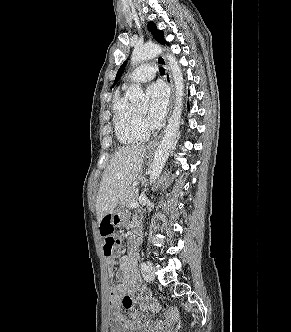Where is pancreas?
<instances>
[{
  "label": "pancreas",
  "mask_w": 291,
  "mask_h": 332,
  "mask_svg": "<svg viewBox=\"0 0 291 332\" xmlns=\"http://www.w3.org/2000/svg\"><path fill=\"white\" fill-rule=\"evenodd\" d=\"M138 188L135 186H130L129 188H127V190L124 192V194L121 196L120 198V205H122L123 207H129V205L136 201L138 198Z\"/></svg>",
  "instance_id": "1"
}]
</instances>
